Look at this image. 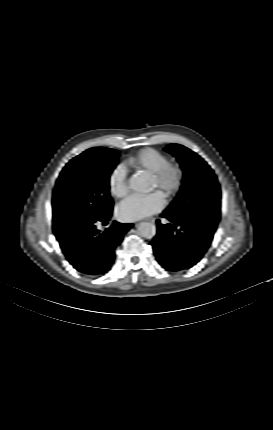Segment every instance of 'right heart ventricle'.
<instances>
[{
	"label": "right heart ventricle",
	"mask_w": 273,
	"mask_h": 430,
	"mask_svg": "<svg viewBox=\"0 0 273 430\" xmlns=\"http://www.w3.org/2000/svg\"><path fill=\"white\" fill-rule=\"evenodd\" d=\"M169 163L166 154L155 148H144L126 160V165L138 171L153 175L164 165Z\"/></svg>",
	"instance_id": "e07e8e85"
}]
</instances>
